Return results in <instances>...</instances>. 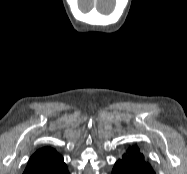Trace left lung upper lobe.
<instances>
[{"mask_svg": "<svg viewBox=\"0 0 187 174\" xmlns=\"http://www.w3.org/2000/svg\"><path fill=\"white\" fill-rule=\"evenodd\" d=\"M117 162H120L123 166L129 169H138L139 171L142 169H152L137 147L127 150V154H124L122 160Z\"/></svg>", "mask_w": 187, "mask_h": 174, "instance_id": "obj_1", "label": "left lung upper lobe"}]
</instances>
